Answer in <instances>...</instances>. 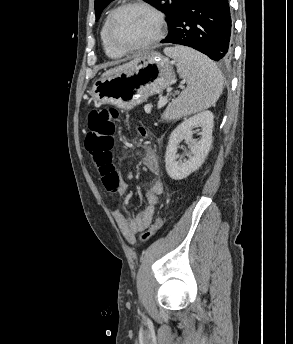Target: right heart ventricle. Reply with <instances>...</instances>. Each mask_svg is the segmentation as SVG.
<instances>
[{"label":"right heart ventricle","mask_w":293,"mask_h":344,"mask_svg":"<svg viewBox=\"0 0 293 344\" xmlns=\"http://www.w3.org/2000/svg\"><path fill=\"white\" fill-rule=\"evenodd\" d=\"M110 14L107 15L105 18L101 31H100V39L102 42V46L104 49L105 54L107 57L113 60H118L121 59L124 56V53L118 52L115 50L109 43L108 38H107V25H108V20H109Z\"/></svg>","instance_id":"obj_1"}]
</instances>
